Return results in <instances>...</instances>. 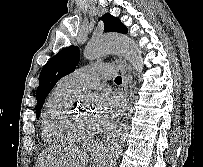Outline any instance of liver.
I'll return each instance as SVG.
<instances>
[{
  "mask_svg": "<svg viewBox=\"0 0 203 167\" xmlns=\"http://www.w3.org/2000/svg\"><path fill=\"white\" fill-rule=\"evenodd\" d=\"M89 160L99 162L100 155L96 147L70 145L59 150H44L36 167H86Z\"/></svg>",
  "mask_w": 203,
  "mask_h": 167,
  "instance_id": "liver-1",
  "label": "liver"
}]
</instances>
